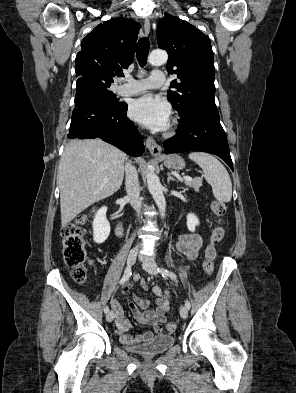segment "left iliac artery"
I'll return each mask as SVG.
<instances>
[{
  "instance_id": "left-iliac-artery-1",
  "label": "left iliac artery",
  "mask_w": 296,
  "mask_h": 393,
  "mask_svg": "<svg viewBox=\"0 0 296 393\" xmlns=\"http://www.w3.org/2000/svg\"><path fill=\"white\" fill-rule=\"evenodd\" d=\"M158 272H160L162 274L163 277H170L171 279H176V274L172 271L167 270L166 268L160 267L158 268ZM185 306L187 309H190L191 305L189 300L185 301Z\"/></svg>"
}]
</instances>
